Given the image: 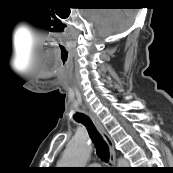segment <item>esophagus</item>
Here are the masks:
<instances>
[{
    "label": "esophagus",
    "instance_id": "34e87169",
    "mask_svg": "<svg viewBox=\"0 0 173 173\" xmlns=\"http://www.w3.org/2000/svg\"><path fill=\"white\" fill-rule=\"evenodd\" d=\"M88 115L90 116V118L92 119L96 128L98 129V131L100 132V134L102 135L104 140L106 141V143L109 147V150H110V163L112 166H115L116 165V152H115L114 142H113L112 138L110 137L108 132L105 130V128L103 127L101 122L95 116H93L90 113Z\"/></svg>",
    "mask_w": 173,
    "mask_h": 173
}]
</instances>
